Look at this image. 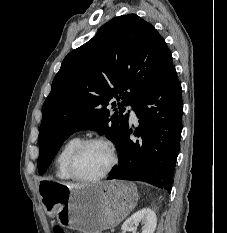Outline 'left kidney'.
<instances>
[{"label": "left kidney", "mask_w": 227, "mask_h": 233, "mask_svg": "<svg viewBox=\"0 0 227 233\" xmlns=\"http://www.w3.org/2000/svg\"><path fill=\"white\" fill-rule=\"evenodd\" d=\"M139 223L143 225L141 233H154L157 225V217L155 212L150 208H144L128 218L123 223L121 229L124 231L123 233H125L126 231L137 233L135 225Z\"/></svg>", "instance_id": "5707ae66"}]
</instances>
